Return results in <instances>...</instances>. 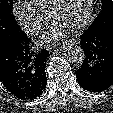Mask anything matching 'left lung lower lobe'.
Returning <instances> with one entry per match:
<instances>
[{"mask_svg":"<svg viewBox=\"0 0 113 113\" xmlns=\"http://www.w3.org/2000/svg\"><path fill=\"white\" fill-rule=\"evenodd\" d=\"M84 61L77 70L79 85L90 92H102L113 85V24L81 36Z\"/></svg>","mask_w":113,"mask_h":113,"instance_id":"0a47b994","label":"left lung lower lobe"}]
</instances>
